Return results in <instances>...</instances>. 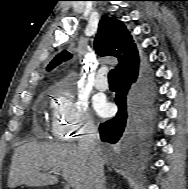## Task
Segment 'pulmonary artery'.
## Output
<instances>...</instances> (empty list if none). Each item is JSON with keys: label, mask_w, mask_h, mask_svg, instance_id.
I'll use <instances>...</instances> for the list:
<instances>
[{"label": "pulmonary artery", "mask_w": 188, "mask_h": 189, "mask_svg": "<svg viewBox=\"0 0 188 189\" xmlns=\"http://www.w3.org/2000/svg\"><path fill=\"white\" fill-rule=\"evenodd\" d=\"M105 70L104 69H99L96 78L94 80V86L97 90L99 91H105L108 89V80L105 77Z\"/></svg>", "instance_id": "1"}]
</instances>
